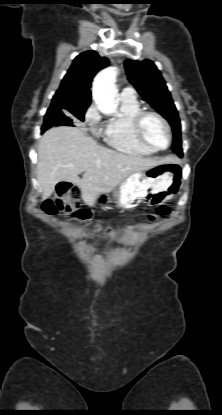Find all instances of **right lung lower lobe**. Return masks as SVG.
<instances>
[{
	"instance_id": "98d812e1",
	"label": "right lung lower lobe",
	"mask_w": 222,
	"mask_h": 415,
	"mask_svg": "<svg viewBox=\"0 0 222 415\" xmlns=\"http://www.w3.org/2000/svg\"><path fill=\"white\" fill-rule=\"evenodd\" d=\"M48 120H49V118L45 115V120H44V124H43V127H42V133H43L45 130H47V129H49L50 127H52V126H53L51 123H49V124H48ZM60 125H61V124H60Z\"/></svg>"
}]
</instances>
